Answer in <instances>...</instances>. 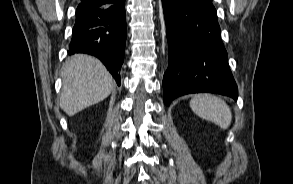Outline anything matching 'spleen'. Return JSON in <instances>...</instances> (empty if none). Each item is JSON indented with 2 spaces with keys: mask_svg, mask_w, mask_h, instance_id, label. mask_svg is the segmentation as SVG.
<instances>
[{
  "mask_svg": "<svg viewBox=\"0 0 293 184\" xmlns=\"http://www.w3.org/2000/svg\"><path fill=\"white\" fill-rule=\"evenodd\" d=\"M190 107L199 117L212 121L222 129H227L232 121V113L226 102L210 94H197L190 101Z\"/></svg>",
  "mask_w": 293,
  "mask_h": 184,
  "instance_id": "1",
  "label": "spleen"
}]
</instances>
